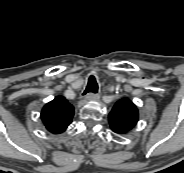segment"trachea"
<instances>
[{
    "instance_id": "1",
    "label": "trachea",
    "mask_w": 184,
    "mask_h": 173,
    "mask_svg": "<svg viewBox=\"0 0 184 173\" xmlns=\"http://www.w3.org/2000/svg\"><path fill=\"white\" fill-rule=\"evenodd\" d=\"M98 91V84L94 75L89 77L88 84L83 94L96 93Z\"/></svg>"
}]
</instances>
